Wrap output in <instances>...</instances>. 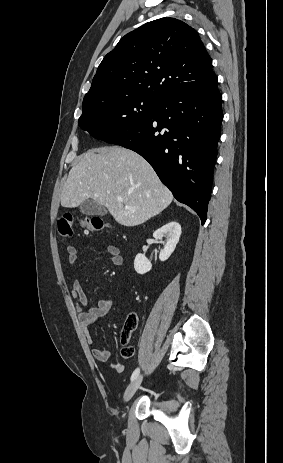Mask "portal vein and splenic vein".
<instances>
[{
  "instance_id": "obj_1",
  "label": "portal vein and splenic vein",
  "mask_w": 283,
  "mask_h": 463,
  "mask_svg": "<svg viewBox=\"0 0 283 463\" xmlns=\"http://www.w3.org/2000/svg\"><path fill=\"white\" fill-rule=\"evenodd\" d=\"M119 201L123 202V199L122 198H118Z\"/></svg>"
}]
</instances>
